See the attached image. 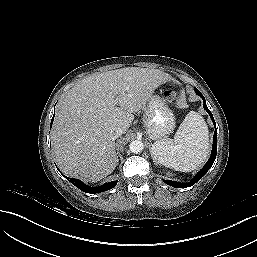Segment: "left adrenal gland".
<instances>
[{"label":"left adrenal gland","mask_w":257,"mask_h":257,"mask_svg":"<svg viewBox=\"0 0 257 257\" xmlns=\"http://www.w3.org/2000/svg\"><path fill=\"white\" fill-rule=\"evenodd\" d=\"M151 157L153 159V162L157 163L152 153H151Z\"/></svg>","instance_id":"obj_1"}]
</instances>
